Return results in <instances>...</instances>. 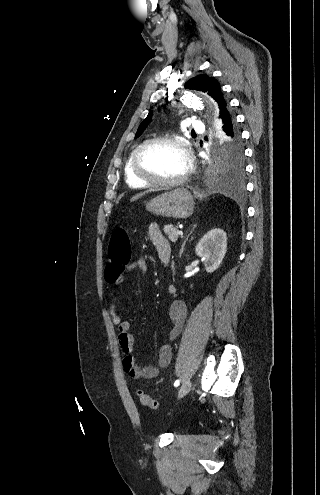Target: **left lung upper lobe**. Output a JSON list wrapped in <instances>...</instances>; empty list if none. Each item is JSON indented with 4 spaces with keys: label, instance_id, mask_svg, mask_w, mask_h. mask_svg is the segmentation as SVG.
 <instances>
[{
    "label": "left lung upper lobe",
    "instance_id": "left-lung-upper-lobe-1",
    "mask_svg": "<svg viewBox=\"0 0 320 495\" xmlns=\"http://www.w3.org/2000/svg\"><path fill=\"white\" fill-rule=\"evenodd\" d=\"M186 89L198 90L210 95L218 105V116L229 109L219 82L211 76L200 74L193 77L185 84ZM152 118V112L139 125L135 137H139ZM218 165L220 169L232 176H238L243 172V148L240 131L235 125L230 134H222L218 143Z\"/></svg>",
    "mask_w": 320,
    "mask_h": 495
}]
</instances>
